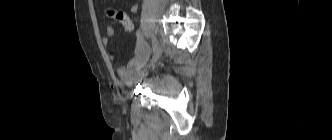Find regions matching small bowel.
Returning <instances> with one entry per match:
<instances>
[{
	"label": "small bowel",
	"mask_w": 332,
	"mask_h": 140,
	"mask_svg": "<svg viewBox=\"0 0 332 140\" xmlns=\"http://www.w3.org/2000/svg\"><path fill=\"white\" fill-rule=\"evenodd\" d=\"M139 9L138 3L131 6L130 11L137 13ZM106 35L102 37V43L107 46L110 39L115 35V30L111 25H107L105 28ZM149 51L148 47L143 41L141 36H137L134 46V55L126 65L119 66L117 68V75L121 81L131 83L136 81L139 77V70L143 68L147 59Z\"/></svg>",
	"instance_id": "c3829d8e"
}]
</instances>
